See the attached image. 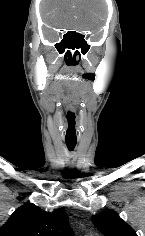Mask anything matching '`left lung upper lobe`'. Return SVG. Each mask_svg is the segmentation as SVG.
I'll list each match as a JSON object with an SVG mask.
<instances>
[{"label": "left lung upper lobe", "instance_id": "obj_1", "mask_svg": "<svg viewBox=\"0 0 145 236\" xmlns=\"http://www.w3.org/2000/svg\"><path fill=\"white\" fill-rule=\"evenodd\" d=\"M92 219L104 236H137L136 232L112 210L94 215Z\"/></svg>", "mask_w": 145, "mask_h": 236}]
</instances>
